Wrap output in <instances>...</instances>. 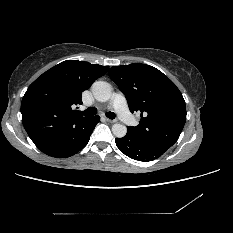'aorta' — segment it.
<instances>
[{
	"mask_svg": "<svg viewBox=\"0 0 233 233\" xmlns=\"http://www.w3.org/2000/svg\"><path fill=\"white\" fill-rule=\"evenodd\" d=\"M92 93L95 97V99L99 102H106L110 99L112 94V87L109 83L104 81H96L93 83L91 87ZM112 132L113 134L118 137L122 138L127 133V128L125 125L122 124H114L112 126Z\"/></svg>",
	"mask_w": 233,
	"mask_h": 233,
	"instance_id": "1",
	"label": "aorta"
}]
</instances>
